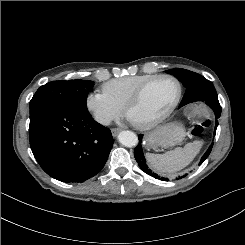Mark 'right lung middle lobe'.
Masks as SVG:
<instances>
[{
	"instance_id": "1",
	"label": "right lung middle lobe",
	"mask_w": 245,
	"mask_h": 245,
	"mask_svg": "<svg viewBox=\"0 0 245 245\" xmlns=\"http://www.w3.org/2000/svg\"><path fill=\"white\" fill-rule=\"evenodd\" d=\"M93 86V81L80 79L49 82L41 86L34 94L29 103L30 113L44 106L87 112L86 98Z\"/></svg>"
}]
</instances>
